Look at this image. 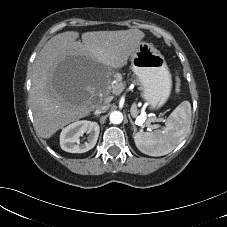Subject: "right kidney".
Returning <instances> with one entry per match:
<instances>
[{
	"instance_id": "right-kidney-1",
	"label": "right kidney",
	"mask_w": 227,
	"mask_h": 227,
	"mask_svg": "<svg viewBox=\"0 0 227 227\" xmlns=\"http://www.w3.org/2000/svg\"><path fill=\"white\" fill-rule=\"evenodd\" d=\"M88 134L87 141L80 143L79 138L84 133ZM100 127L97 122L81 120L63 128L60 134L62 150L70 153H84L92 149L98 140Z\"/></svg>"
}]
</instances>
